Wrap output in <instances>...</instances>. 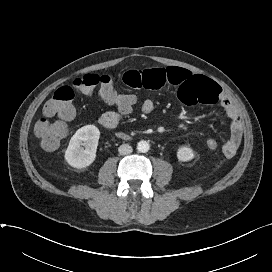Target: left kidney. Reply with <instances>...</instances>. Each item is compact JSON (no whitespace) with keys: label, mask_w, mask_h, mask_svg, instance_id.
I'll return each mask as SVG.
<instances>
[{"label":"left kidney","mask_w":272,"mask_h":272,"mask_svg":"<svg viewBox=\"0 0 272 272\" xmlns=\"http://www.w3.org/2000/svg\"><path fill=\"white\" fill-rule=\"evenodd\" d=\"M193 150L187 146H182L177 151V158L179 161L187 162L194 158Z\"/></svg>","instance_id":"left-kidney-1"}]
</instances>
